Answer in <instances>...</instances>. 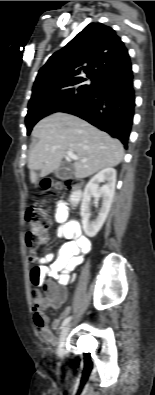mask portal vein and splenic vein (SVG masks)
Returning a JSON list of instances; mask_svg holds the SVG:
<instances>
[{
    "instance_id": "portal-vein-and-splenic-vein-1",
    "label": "portal vein and splenic vein",
    "mask_w": 155,
    "mask_h": 395,
    "mask_svg": "<svg viewBox=\"0 0 155 395\" xmlns=\"http://www.w3.org/2000/svg\"><path fill=\"white\" fill-rule=\"evenodd\" d=\"M67 156L73 160H78V157L72 151H68Z\"/></svg>"
}]
</instances>
